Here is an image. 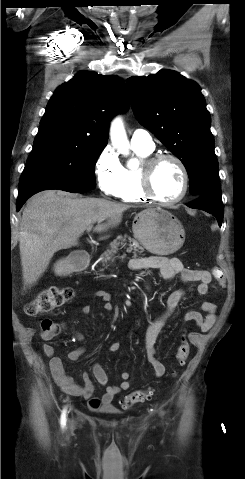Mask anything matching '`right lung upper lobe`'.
Here are the masks:
<instances>
[{
  "mask_svg": "<svg viewBox=\"0 0 245 479\" xmlns=\"http://www.w3.org/2000/svg\"><path fill=\"white\" fill-rule=\"evenodd\" d=\"M128 103L120 77L81 71L56 89L39 130H64L106 146L110 120Z\"/></svg>",
  "mask_w": 245,
  "mask_h": 479,
  "instance_id": "obj_1",
  "label": "right lung upper lobe"
}]
</instances>
